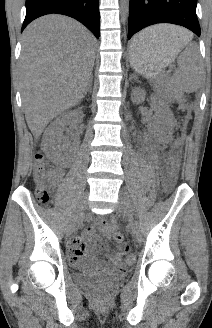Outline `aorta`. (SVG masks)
Instances as JSON below:
<instances>
[{
    "mask_svg": "<svg viewBox=\"0 0 212 328\" xmlns=\"http://www.w3.org/2000/svg\"><path fill=\"white\" fill-rule=\"evenodd\" d=\"M121 6V19L123 22L127 20L129 13V0H120Z\"/></svg>",
    "mask_w": 212,
    "mask_h": 328,
    "instance_id": "762f6f07",
    "label": "aorta"
}]
</instances>
